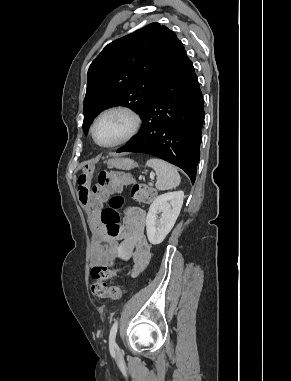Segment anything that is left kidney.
<instances>
[{"label": "left kidney", "instance_id": "5707ae66", "mask_svg": "<svg viewBox=\"0 0 291 381\" xmlns=\"http://www.w3.org/2000/svg\"><path fill=\"white\" fill-rule=\"evenodd\" d=\"M183 199V191L167 192L155 198L146 217L147 237L151 244H160L171 231L181 211ZM159 213L161 216L158 219Z\"/></svg>", "mask_w": 291, "mask_h": 381}]
</instances>
